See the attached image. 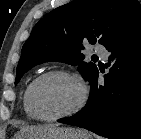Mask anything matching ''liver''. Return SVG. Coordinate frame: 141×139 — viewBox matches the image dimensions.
Listing matches in <instances>:
<instances>
[{
    "mask_svg": "<svg viewBox=\"0 0 141 139\" xmlns=\"http://www.w3.org/2000/svg\"><path fill=\"white\" fill-rule=\"evenodd\" d=\"M53 124H46V125H42V126H24L21 128L20 132L24 133V132H28L30 130H33L35 128H39V127H45V126H52Z\"/></svg>",
    "mask_w": 141,
    "mask_h": 139,
    "instance_id": "obj_1",
    "label": "liver"
}]
</instances>
